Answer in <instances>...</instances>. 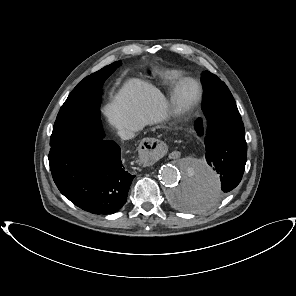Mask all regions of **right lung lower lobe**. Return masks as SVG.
Masks as SVG:
<instances>
[{
	"label": "right lung lower lobe",
	"instance_id": "1",
	"mask_svg": "<svg viewBox=\"0 0 296 296\" xmlns=\"http://www.w3.org/2000/svg\"><path fill=\"white\" fill-rule=\"evenodd\" d=\"M100 136L51 147L49 165L60 192L93 214H113L126 203L135 176L121 164L120 147Z\"/></svg>",
	"mask_w": 296,
	"mask_h": 296
}]
</instances>
